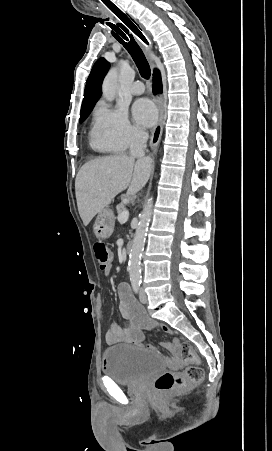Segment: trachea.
<instances>
[{
	"label": "trachea",
	"mask_w": 272,
	"mask_h": 451,
	"mask_svg": "<svg viewBox=\"0 0 272 451\" xmlns=\"http://www.w3.org/2000/svg\"><path fill=\"white\" fill-rule=\"evenodd\" d=\"M123 24H117L118 27L123 30L122 33H112V35L118 40L119 43H122L124 48L130 53L132 56L135 64L137 65L139 69V73L143 78H149L150 77V66L144 56V53L142 52L141 48L137 44V42L134 40L133 35L129 34V30L127 27L132 29L133 27L136 28L134 24V20H130V18L127 17L126 20H122Z\"/></svg>",
	"instance_id": "1"
}]
</instances>
